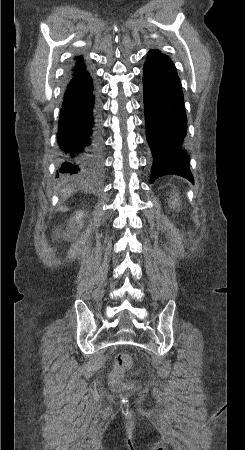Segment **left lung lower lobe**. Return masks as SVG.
<instances>
[{"mask_svg":"<svg viewBox=\"0 0 245 450\" xmlns=\"http://www.w3.org/2000/svg\"><path fill=\"white\" fill-rule=\"evenodd\" d=\"M146 135L153 155L151 183L174 174L194 182L185 149L187 116L184 94L168 56L147 59L143 74Z\"/></svg>","mask_w":245,"mask_h":450,"instance_id":"0a47b994","label":"left lung lower lobe"}]
</instances>
